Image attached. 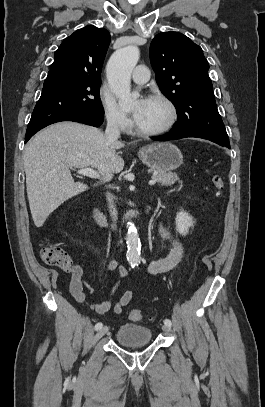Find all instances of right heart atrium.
<instances>
[{
  "label": "right heart atrium",
  "instance_id": "1",
  "mask_svg": "<svg viewBox=\"0 0 265 407\" xmlns=\"http://www.w3.org/2000/svg\"><path fill=\"white\" fill-rule=\"evenodd\" d=\"M99 100L105 120L110 127L119 131L129 129L131 125L129 117L120 109L113 96L106 89H100Z\"/></svg>",
  "mask_w": 265,
  "mask_h": 407
}]
</instances>
